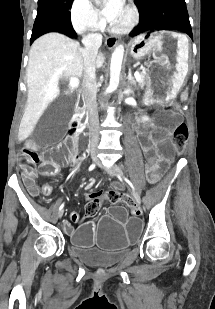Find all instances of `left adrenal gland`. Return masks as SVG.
I'll return each mask as SVG.
<instances>
[{
  "label": "left adrenal gland",
  "mask_w": 215,
  "mask_h": 309,
  "mask_svg": "<svg viewBox=\"0 0 215 309\" xmlns=\"http://www.w3.org/2000/svg\"><path fill=\"white\" fill-rule=\"evenodd\" d=\"M127 78H128V82H133V84H134L135 80H134L133 76H131V70H129V74H128Z\"/></svg>",
  "instance_id": "left-adrenal-gland-1"
}]
</instances>
